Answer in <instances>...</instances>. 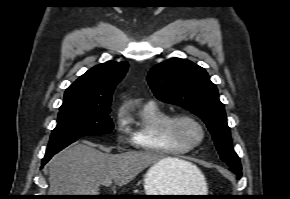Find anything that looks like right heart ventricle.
Here are the masks:
<instances>
[{"label":"right heart ventricle","mask_w":290,"mask_h":199,"mask_svg":"<svg viewBox=\"0 0 290 199\" xmlns=\"http://www.w3.org/2000/svg\"><path fill=\"white\" fill-rule=\"evenodd\" d=\"M171 115L156 103L144 104L134 116L126 119L133 145L145 152L162 156H180L189 151L175 143L166 134V125Z\"/></svg>","instance_id":"e07e8e85"}]
</instances>
